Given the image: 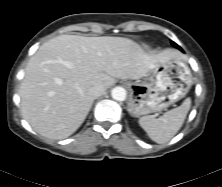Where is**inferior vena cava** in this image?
<instances>
[{
  "label": "inferior vena cava",
  "instance_id": "1",
  "mask_svg": "<svg viewBox=\"0 0 222 187\" xmlns=\"http://www.w3.org/2000/svg\"><path fill=\"white\" fill-rule=\"evenodd\" d=\"M105 90L106 89L103 85H95L89 89L88 93L93 99H96L100 97L101 95H103Z\"/></svg>",
  "mask_w": 222,
  "mask_h": 187
}]
</instances>
